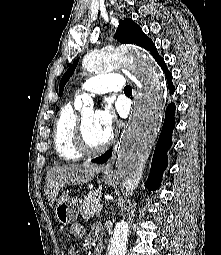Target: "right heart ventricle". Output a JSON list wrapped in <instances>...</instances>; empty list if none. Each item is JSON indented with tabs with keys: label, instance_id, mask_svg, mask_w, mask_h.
<instances>
[{
	"label": "right heart ventricle",
	"instance_id": "obj_1",
	"mask_svg": "<svg viewBox=\"0 0 221 255\" xmlns=\"http://www.w3.org/2000/svg\"><path fill=\"white\" fill-rule=\"evenodd\" d=\"M78 114L72 104L60 111L53 128V141L57 155L65 162L79 161L83 154L76 145Z\"/></svg>",
	"mask_w": 221,
	"mask_h": 255
}]
</instances>
